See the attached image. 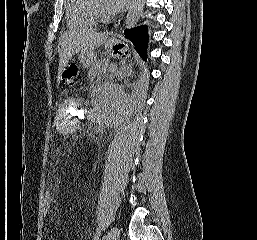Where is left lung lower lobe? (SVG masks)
I'll return each mask as SVG.
<instances>
[{
  "mask_svg": "<svg viewBox=\"0 0 257 240\" xmlns=\"http://www.w3.org/2000/svg\"><path fill=\"white\" fill-rule=\"evenodd\" d=\"M124 34L134 44L140 56L146 59L148 42L147 27L142 26L137 28L125 29Z\"/></svg>",
  "mask_w": 257,
  "mask_h": 240,
  "instance_id": "1",
  "label": "left lung lower lobe"
}]
</instances>
